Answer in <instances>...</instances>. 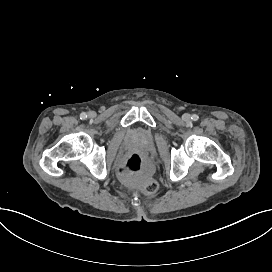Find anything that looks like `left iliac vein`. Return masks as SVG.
I'll return each instance as SVG.
<instances>
[{"label":"left iliac vein","mask_w":272,"mask_h":272,"mask_svg":"<svg viewBox=\"0 0 272 272\" xmlns=\"http://www.w3.org/2000/svg\"><path fill=\"white\" fill-rule=\"evenodd\" d=\"M185 118H189V115H188V114H185Z\"/></svg>","instance_id":"1"}]
</instances>
